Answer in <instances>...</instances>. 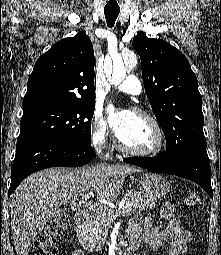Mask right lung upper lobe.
Masks as SVG:
<instances>
[{
  "label": "right lung upper lobe",
  "mask_w": 221,
  "mask_h": 255,
  "mask_svg": "<svg viewBox=\"0 0 221 255\" xmlns=\"http://www.w3.org/2000/svg\"><path fill=\"white\" fill-rule=\"evenodd\" d=\"M94 62L93 46L84 32L54 44L35 63L23 110L95 103Z\"/></svg>",
  "instance_id": "cb5924a9"
}]
</instances>
